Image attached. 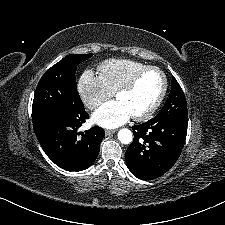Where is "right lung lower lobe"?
<instances>
[{"instance_id": "1", "label": "right lung lower lobe", "mask_w": 225, "mask_h": 225, "mask_svg": "<svg viewBox=\"0 0 225 225\" xmlns=\"http://www.w3.org/2000/svg\"><path fill=\"white\" fill-rule=\"evenodd\" d=\"M88 118L83 105L76 109H64L33 124L42 149L60 168L82 171L96 160L105 133L98 126L77 133ZM79 134L82 137H78Z\"/></svg>"}]
</instances>
